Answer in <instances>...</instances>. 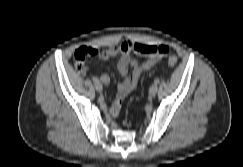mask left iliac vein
Instances as JSON below:
<instances>
[{"mask_svg":"<svg viewBox=\"0 0 243 167\" xmlns=\"http://www.w3.org/2000/svg\"><path fill=\"white\" fill-rule=\"evenodd\" d=\"M158 92V86L156 84H153L149 88V94L150 96H155Z\"/></svg>","mask_w":243,"mask_h":167,"instance_id":"obj_1","label":"left iliac vein"}]
</instances>
